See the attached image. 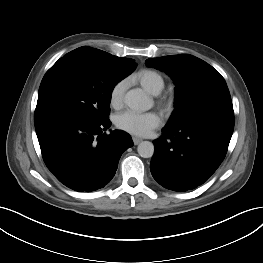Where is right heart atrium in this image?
Here are the masks:
<instances>
[{
    "mask_svg": "<svg viewBox=\"0 0 263 263\" xmlns=\"http://www.w3.org/2000/svg\"><path fill=\"white\" fill-rule=\"evenodd\" d=\"M124 91V81H118L111 87L109 92V103L113 108H119L122 105Z\"/></svg>",
    "mask_w": 263,
    "mask_h": 263,
    "instance_id": "d8ad5b80",
    "label": "right heart atrium"
}]
</instances>
